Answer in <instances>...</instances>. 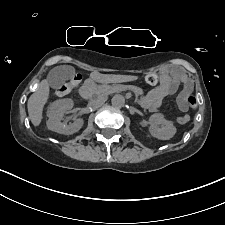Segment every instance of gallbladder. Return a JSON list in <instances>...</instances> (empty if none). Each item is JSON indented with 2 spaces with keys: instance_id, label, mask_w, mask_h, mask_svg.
Listing matches in <instances>:
<instances>
[{
  "instance_id": "bac80fb5",
  "label": "gallbladder",
  "mask_w": 225,
  "mask_h": 225,
  "mask_svg": "<svg viewBox=\"0 0 225 225\" xmlns=\"http://www.w3.org/2000/svg\"><path fill=\"white\" fill-rule=\"evenodd\" d=\"M74 75V68L68 65L57 66L53 68L48 76L47 81L50 87L57 89L60 88L66 80Z\"/></svg>"
}]
</instances>
